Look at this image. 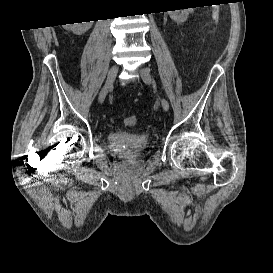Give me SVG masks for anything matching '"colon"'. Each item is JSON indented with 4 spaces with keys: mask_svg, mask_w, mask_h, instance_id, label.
Instances as JSON below:
<instances>
[{
    "mask_svg": "<svg viewBox=\"0 0 273 273\" xmlns=\"http://www.w3.org/2000/svg\"><path fill=\"white\" fill-rule=\"evenodd\" d=\"M124 124L126 126H129V127L135 126L137 124V118H136V116H134V115H128L124 119Z\"/></svg>",
    "mask_w": 273,
    "mask_h": 273,
    "instance_id": "colon-1",
    "label": "colon"
}]
</instances>
